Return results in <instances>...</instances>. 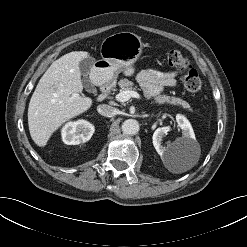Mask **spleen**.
<instances>
[{
	"label": "spleen",
	"mask_w": 247,
	"mask_h": 247,
	"mask_svg": "<svg viewBox=\"0 0 247 247\" xmlns=\"http://www.w3.org/2000/svg\"><path fill=\"white\" fill-rule=\"evenodd\" d=\"M187 170V168H185V169H179L177 172H184V171H186Z\"/></svg>",
	"instance_id": "spleen-1"
}]
</instances>
